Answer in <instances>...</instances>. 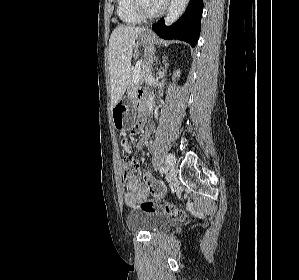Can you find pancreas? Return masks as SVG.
I'll list each match as a JSON object with an SVG mask.
<instances>
[{"label": "pancreas", "instance_id": "pancreas-1", "mask_svg": "<svg viewBox=\"0 0 299 280\" xmlns=\"http://www.w3.org/2000/svg\"><path fill=\"white\" fill-rule=\"evenodd\" d=\"M145 70L143 69V71L141 72V75H140V79L138 82H134V72L131 73V79H130V83H129V87H128V90L130 93H133L134 90L136 88H138L139 84L141 82H143V74H144Z\"/></svg>", "mask_w": 299, "mask_h": 280}]
</instances>
